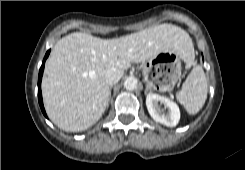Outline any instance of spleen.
<instances>
[{"label":"spleen","mask_w":245,"mask_h":170,"mask_svg":"<svg viewBox=\"0 0 245 170\" xmlns=\"http://www.w3.org/2000/svg\"><path fill=\"white\" fill-rule=\"evenodd\" d=\"M192 56L194 58V50ZM191 61H188V63ZM207 91L208 85L205 73L203 68L197 65L188 75L181 90L176 93V98L189 114H196L202 109L206 101Z\"/></svg>","instance_id":"spleen-1"}]
</instances>
